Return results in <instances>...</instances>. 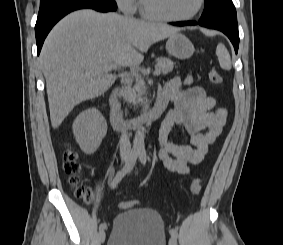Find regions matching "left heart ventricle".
Returning <instances> with one entry per match:
<instances>
[{
  "instance_id": "obj_1",
  "label": "left heart ventricle",
  "mask_w": 283,
  "mask_h": 245,
  "mask_svg": "<svg viewBox=\"0 0 283 245\" xmlns=\"http://www.w3.org/2000/svg\"><path fill=\"white\" fill-rule=\"evenodd\" d=\"M198 0H145L148 9L169 17H180L191 13Z\"/></svg>"
}]
</instances>
